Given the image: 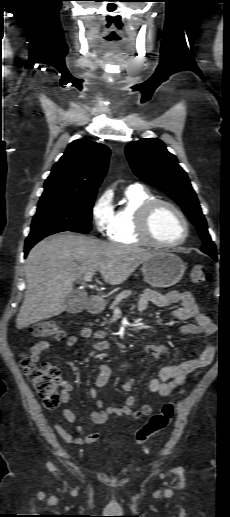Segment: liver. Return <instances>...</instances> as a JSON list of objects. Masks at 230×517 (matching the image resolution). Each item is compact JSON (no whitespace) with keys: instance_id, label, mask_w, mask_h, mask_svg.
I'll list each match as a JSON object with an SVG mask.
<instances>
[{"instance_id":"obj_1","label":"liver","mask_w":230,"mask_h":517,"mask_svg":"<svg viewBox=\"0 0 230 517\" xmlns=\"http://www.w3.org/2000/svg\"><path fill=\"white\" fill-rule=\"evenodd\" d=\"M153 254L147 249L71 233L45 238L26 259L27 287L16 327L23 329L60 315L66 309L73 283L87 272L99 271L106 283L119 285Z\"/></svg>"}]
</instances>
